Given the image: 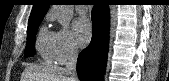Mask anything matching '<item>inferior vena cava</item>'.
<instances>
[{
    "label": "inferior vena cava",
    "mask_w": 169,
    "mask_h": 81,
    "mask_svg": "<svg viewBox=\"0 0 169 81\" xmlns=\"http://www.w3.org/2000/svg\"><path fill=\"white\" fill-rule=\"evenodd\" d=\"M77 58H78V50L76 47L71 46L68 50L67 54V62L64 68L66 75L69 76L71 81H77Z\"/></svg>",
    "instance_id": "inferior-vena-cava-1"
}]
</instances>
